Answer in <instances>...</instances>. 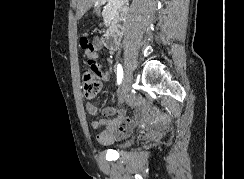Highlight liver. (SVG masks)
<instances>
[{
    "label": "liver",
    "mask_w": 244,
    "mask_h": 179,
    "mask_svg": "<svg viewBox=\"0 0 244 179\" xmlns=\"http://www.w3.org/2000/svg\"><path fill=\"white\" fill-rule=\"evenodd\" d=\"M96 0H77V12L76 16L78 20L86 14L87 10H89L90 6L95 4Z\"/></svg>",
    "instance_id": "obj_1"
}]
</instances>
